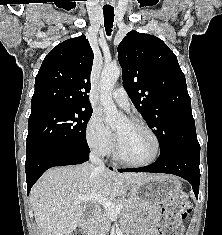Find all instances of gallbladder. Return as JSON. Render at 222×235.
<instances>
[{
  "mask_svg": "<svg viewBox=\"0 0 222 235\" xmlns=\"http://www.w3.org/2000/svg\"><path fill=\"white\" fill-rule=\"evenodd\" d=\"M92 211H93V207L92 206H85L84 212H83V216L85 218H88L89 216H91Z\"/></svg>",
  "mask_w": 222,
  "mask_h": 235,
  "instance_id": "gallbladder-1",
  "label": "gallbladder"
}]
</instances>
